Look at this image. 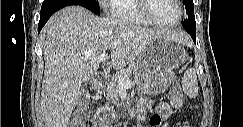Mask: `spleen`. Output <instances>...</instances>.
<instances>
[{
  "label": "spleen",
  "instance_id": "1",
  "mask_svg": "<svg viewBox=\"0 0 243 127\" xmlns=\"http://www.w3.org/2000/svg\"><path fill=\"white\" fill-rule=\"evenodd\" d=\"M183 91L190 98H196L198 95L197 74L194 68L186 70L182 78Z\"/></svg>",
  "mask_w": 243,
  "mask_h": 127
}]
</instances>
